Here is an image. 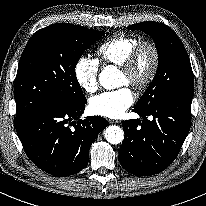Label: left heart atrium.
Instances as JSON below:
<instances>
[{"instance_id":"obj_1","label":"left heart atrium","mask_w":206,"mask_h":206,"mask_svg":"<svg viewBox=\"0 0 206 206\" xmlns=\"http://www.w3.org/2000/svg\"><path fill=\"white\" fill-rule=\"evenodd\" d=\"M135 96L128 87L117 91L104 92L89 102V109L92 114L117 119L123 116L126 110L134 103Z\"/></svg>"}]
</instances>
